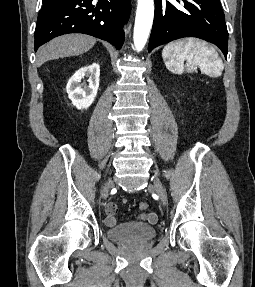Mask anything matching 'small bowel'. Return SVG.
<instances>
[{"instance_id":"obj_1","label":"small bowel","mask_w":255,"mask_h":287,"mask_svg":"<svg viewBox=\"0 0 255 287\" xmlns=\"http://www.w3.org/2000/svg\"><path fill=\"white\" fill-rule=\"evenodd\" d=\"M122 203L126 204L127 199L123 198ZM116 214H117V205L113 202L109 203L106 206L105 224L107 226L112 227L116 224ZM136 221L155 224L158 221V217L153 212H145V213L139 214L136 218Z\"/></svg>"}]
</instances>
